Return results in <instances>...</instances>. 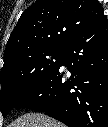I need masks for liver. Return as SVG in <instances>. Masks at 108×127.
<instances>
[{"mask_svg": "<svg viewBox=\"0 0 108 127\" xmlns=\"http://www.w3.org/2000/svg\"><path fill=\"white\" fill-rule=\"evenodd\" d=\"M17 127H61L56 121L42 114H31L19 120Z\"/></svg>", "mask_w": 108, "mask_h": 127, "instance_id": "liver-1", "label": "liver"}]
</instances>
